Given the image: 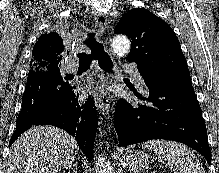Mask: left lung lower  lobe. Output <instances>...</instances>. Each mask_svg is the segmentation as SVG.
<instances>
[{
  "label": "left lung lower lobe",
  "instance_id": "obj_1",
  "mask_svg": "<svg viewBox=\"0 0 219 173\" xmlns=\"http://www.w3.org/2000/svg\"><path fill=\"white\" fill-rule=\"evenodd\" d=\"M149 88V105L131 104L120 99L116 105L114 127L119 146L151 139L184 143L201 153L211 164L206 125L191 82L159 88L156 76L139 70ZM138 98L141 95L135 92ZM144 100V99H143Z\"/></svg>",
  "mask_w": 219,
  "mask_h": 173
}]
</instances>
